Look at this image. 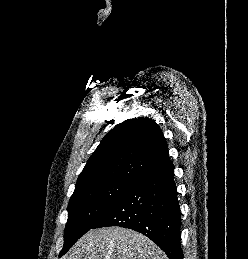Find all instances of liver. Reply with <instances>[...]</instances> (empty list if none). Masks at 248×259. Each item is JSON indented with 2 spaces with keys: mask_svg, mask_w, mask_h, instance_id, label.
I'll list each match as a JSON object with an SVG mask.
<instances>
[{
  "mask_svg": "<svg viewBox=\"0 0 248 259\" xmlns=\"http://www.w3.org/2000/svg\"><path fill=\"white\" fill-rule=\"evenodd\" d=\"M64 259H168L149 238L118 226L88 231Z\"/></svg>",
  "mask_w": 248,
  "mask_h": 259,
  "instance_id": "1",
  "label": "liver"
}]
</instances>
